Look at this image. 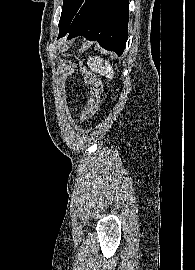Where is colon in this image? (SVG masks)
I'll return each instance as SVG.
<instances>
[{
	"mask_svg": "<svg viewBox=\"0 0 195 270\" xmlns=\"http://www.w3.org/2000/svg\"><path fill=\"white\" fill-rule=\"evenodd\" d=\"M80 74L90 89V96L87 106L80 118L81 122H86L91 120L99 110L102 94V83L94 73L85 67L80 68Z\"/></svg>",
	"mask_w": 195,
	"mask_h": 270,
	"instance_id": "5ec220e1",
	"label": "colon"
}]
</instances>
